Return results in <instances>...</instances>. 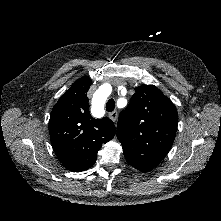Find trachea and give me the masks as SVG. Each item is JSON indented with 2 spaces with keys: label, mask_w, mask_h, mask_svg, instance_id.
<instances>
[{
  "label": "trachea",
  "mask_w": 221,
  "mask_h": 221,
  "mask_svg": "<svg viewBox=\"0 0 221 221\" xmlns=\"http://www.w3.org/2000/svg\"><path fill=\"white\" fill-rule=\"evenodd\" d=\"M115 108V101L114 99H109L108 102L106 103V110L108 112H112Z\"/></svg>",
  "instance_id": "trachea-1"
}]
</instances>
